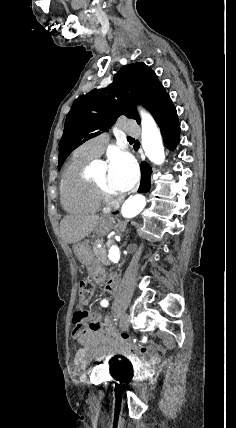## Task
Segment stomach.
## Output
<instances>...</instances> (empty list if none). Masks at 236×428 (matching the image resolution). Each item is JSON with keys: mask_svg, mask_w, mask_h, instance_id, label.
<instances>
[{"mask_svg": "<svg viewBox=\"0 0 236 428\" xmlns=\"http://www.w3.org/2000/svg\"><path fill=\"white\" fill-rule=\"evenodd\" d=\"M96 232H98V234H105L107 230L100 224V226L96 228ZM73 252L78 260L84 264V268L87 269L86 272L91 282L96 283L97 286H102L106 275L104 263L99 262L97 258L93 256L89 242H78V244H73Z\"/></svg>", "mask_w": 236, "mask_h": 428, "instance_id": "obj_1", "label": "stomach"}]
</instances>
